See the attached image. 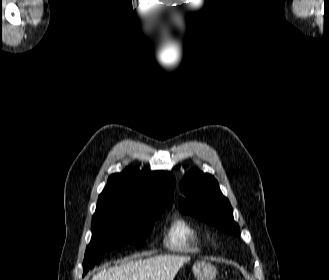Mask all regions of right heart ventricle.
<instances>
[{"instance_id": "right-heart-ventricle-1", "label": "right heart ventricle", "mask_w": 329, "mask_h": 280, "mask_svg": "<svg viewBox=\"0 0 329 280\" xmlns=\"http://www.w3.org/2000/svg\"><path fill=\"white\" fill-rule=\"evenodd\" d=\"M199 234L185 219H175L167 233V246L173 251L193 252L198 250Z\"/></svg>"}]
</instances>
